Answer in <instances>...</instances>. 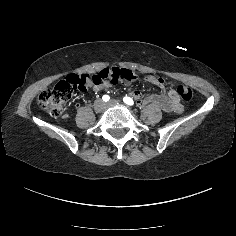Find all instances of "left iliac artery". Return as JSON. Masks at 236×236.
Here are the masks:
<instances>
[{
	"mask_svg": "<svg viewBox=\"0 0 236 236\" xmlns=\"http://www.w3.org/2000/svg\"><path fill=\"white\" fill-rule=\"evenodd\" d=\"M123 101H124V103H126L127 105H130V106H132L134 104L133 99L130 97H127V96L123 98Z\"/></svg>",
	"mask_w": 236,
	"mask_h": 236,
	"instance_id": "obj_1",
	"label": "left iliac artery"
}]
</instances>
